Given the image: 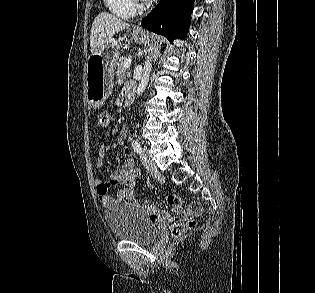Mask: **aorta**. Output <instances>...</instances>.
<instances>
[{
    "instance_id": "obj_1",
    "label": "aorta",
    "mask_w": 315,
    "mask_h": 293,
    "mask_svg": "<svg viewBox=\"0 0 315 293\" xmlns=\"http://www.w3.org/2000/svg\"><path fill=\"white\" fill-rule=\"evenodd\" d=\"M151 69H152L151 57L148 56L147 60L144 64L143 74L141 76V79H140V82L138 85V89H137L138 96L141 95L146 89V86H147L148 81H149Z\"/></svg>"
}]
</instances>
